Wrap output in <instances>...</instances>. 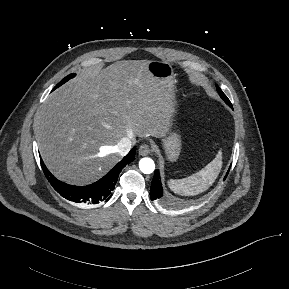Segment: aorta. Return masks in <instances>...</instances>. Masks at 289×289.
I'll list each match as a JSON object with an SVG mask.
<instances>
[{
	"label": "aorta",
	"instance_id": "1",
	"mask_svg": "<svg viewBox=\"0 0 289 289\" xmlns=\"http://www.w3.org/2000/svg\"><path fill=\"white\" fill-rule=\"evenodd\" d=\"M139 168L144 174H151L155 169V163L151 158H142L139 161Z\"/></svg>",
	"mask_w": 289,
	"mask_h": 289
}]
</instances>
